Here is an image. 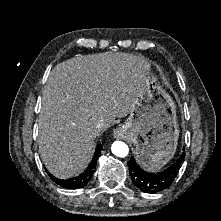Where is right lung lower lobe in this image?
<instances>
[{"label": "right lung lower lobe", "mask_w": 221, "mask_h": 221, "mask_svg": "<svg viewBox=\"0 0 221 221\" xmlns=\"http://www.w3.org/2000/svg\"><path fill=\"white\" fill-rule=\"evenodd\" d=\"M102 146L100 144L97 145L95 149V153L93 159L89 165V167L79 176L70 178L67 180L57 179L53 175H51L47 170L46 172L50 176V178L57 183L58 185L68 188V189H78L87 185V183L91 180L93 173L95 172L97 158L99 153L101 152Z\"/></svg>", "instance_id": "1"}]
</instances>
